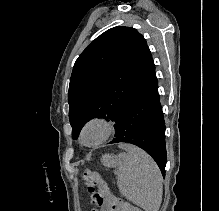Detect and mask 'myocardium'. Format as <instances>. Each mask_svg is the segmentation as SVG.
<instances>
[{
    "mask_svg": "<svg viewBox=\"0 0 219 211\" xmlns=\"http://www.w3.org/2000/svg\"><path fill=\"white\" fill-rule=\"evenodd\" d=\"M98 128L100 131L99 138L96 142L88 144L84 141V135L90 128ZM114 122L104 116H95L88 119L82 126L80 131V142L88 148H96L102 145L114 132Z\"/></svg>",
    "mask_w": 219,
    "mask_h": 211,
    "instance_id": "f54148a6",
    "label": "myocardium"
}]
</instances>
